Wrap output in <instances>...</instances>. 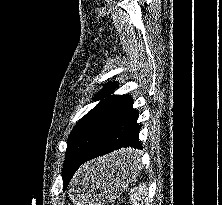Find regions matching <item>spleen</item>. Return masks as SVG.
I'll use <instances>...</instances> for the list:
<instances>
[{
  "label": "spleen",
  "instance_id": "1",
  "mask_svg": "<svg viewBox=\"0 0 222 205\" xmlns=\"http://www.w3.org/2000/svg\"><path fill=\"white\" fill-rule=\"evenodd\" d=\"M147 196V186L142 183L138 188L131 190V200L134 205H151Z\"/></svg>",
  "mask_w": 222,
  "mask_h": 205
}]
</instances>
